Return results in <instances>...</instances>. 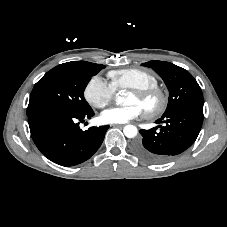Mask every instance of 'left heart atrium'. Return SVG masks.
Segmentation results:
<instances>
[{
	"instance_id": "39dd6f15",
	"label": "left heart atrium",
	"mask_w": 227,
	"mask_h": 227,
	"mask_svg": "<svg viewBox=\"0 0 227 227\" xmlns=\"http://www.w3.org/2000/svg\"><path fill=\"white\" fill-rule=\"evenodd\" d=\"M142 112V109L135 104L112 107L102 112L101 120L109 124H122L139 117Z\"/></svg>"
}]
</instances>
